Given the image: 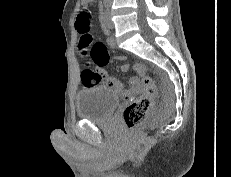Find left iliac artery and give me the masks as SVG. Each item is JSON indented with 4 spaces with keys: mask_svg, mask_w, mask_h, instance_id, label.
Segmentation results:
<instances>
[{
    "mask_svg": "<svg viewBox=\"0 0 231 177\" xmlns=\"http://www.w3.org/2000/svg\"><path fill=\"white\" fill-rule=\"evenodd\" d=\"M105 3V6L107 7L108 5H107V3L106 2H104Z\"/></svg>",
    "mask_w": 231,
    "mask_h": 177,
    "instance_id": "44dca946",
    "label": "left iliac artery"
}]
</instances>
